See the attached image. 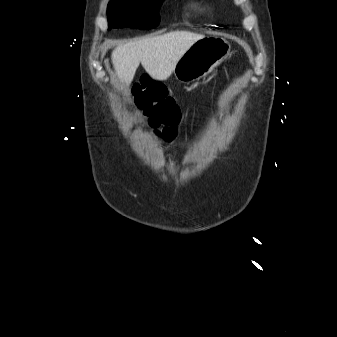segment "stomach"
I'll use <instances>...</instances> for the list:
<instances>
[{"mask_svg":"<svg viewBox=\"0 0 337 337\" xmlns=\"http://www.w3.org/2000/svg\"><path fill=\"white\" fill-rule=\"evenodd\" d=\"M230 43L223 38L206 37L196 41L176 63L173 73L182 83L199 80L230 55Z\"/></svg>","mask_w":337,"mask_h":337,"instance_id":"1","label":"stomach"}]
</instances>
